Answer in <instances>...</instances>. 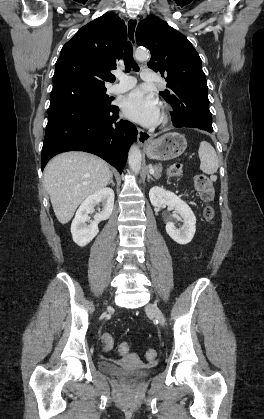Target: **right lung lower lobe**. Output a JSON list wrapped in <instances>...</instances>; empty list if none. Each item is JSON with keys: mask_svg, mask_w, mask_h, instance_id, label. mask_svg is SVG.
<instances>
[{"mask_svg": "<svg viewBox=\"0 0 264 419\" xmlns=\"http://www.w3.org/2000/svg\"><path fill=\"white\" fill-rule=\"evenodd\" d=\"M119 108L66 103L48 113L41 153V169L56 154L85 151L103 158L120 173L137 129L119 119Z\"/></svg>", "mask_w": 264, "mask_h": 419, "instance_id": "1", "label": "right lung lower lobe"}]
</instances>
